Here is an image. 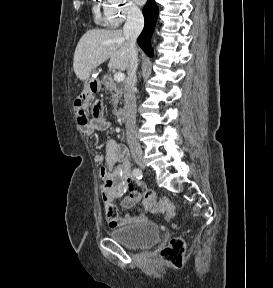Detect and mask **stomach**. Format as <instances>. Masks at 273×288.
<instances>
[{
    "mask_svg": "<svg viewBox=\"0 0 273 288\" xmlns=\"http://www.w3.org/2000/svg\"><path fill=\"white\" fill-rule=\"evenodd\" d=\"M86 88L92 94L97 93L101 88L100 81L97 78H91L86 84Z\"/></svg>",
    "mask_w": 273,
    "mask_h": 288,
    "instance_id": "0dacf381",
    "label": "stomach"
}]
</instances>
